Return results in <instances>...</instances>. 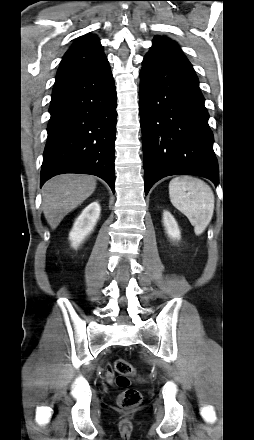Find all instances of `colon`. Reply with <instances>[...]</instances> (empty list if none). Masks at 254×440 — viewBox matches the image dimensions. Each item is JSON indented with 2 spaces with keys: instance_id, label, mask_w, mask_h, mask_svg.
I'll list each match as a JSON object with an SVG mask.
<instances>
[{
  "instance_id": "1",
  "label": "colon",
  "mask_w": 254,
  "mask_h": 440,
  "mask_svg": "<svg viewBox=\"0 0 254 440\" xmlns=\"http://www.w3.org/2000/svg\"><path fill=\"white\" fill-rule=\"evenodd\" d=\"M113 368L117 374L116 385L123 388V392L119 395L118 404L123 409H132L141 404V393L134 388H128L130 377L135 373L132 364L125 359H117Z\"/></svg>"
}]
</instances>
